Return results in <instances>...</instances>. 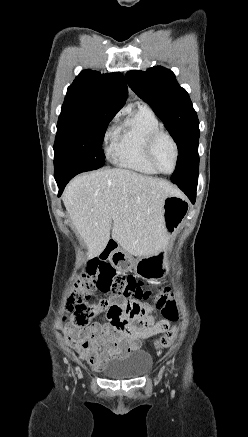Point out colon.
<instances>
[{"label": "colon", "mask_w": 248, "mask_h": 437, "mask_svg": "<svg viewBox=\"0 0 248 437\" xmlns=\"http://www.w3.org/2000/svg\"><path fill=\"white\" fill-rule=\"evenodd\" d=\"M94 288L113 294H128L129 297L133 296L137 299L152 297L159 305L163 306L165 318L162 321L165 334L155 342V347L157 349L164 348L175 339V331L169 329V323L178 318V312L169 289L158 288L155 293L145 289L142 281L133 275L116 272L115 267L105 259L88 261L81 279L75 283L70 291L67 309L74 325L86 326L95 314L106 309L109 305L105 300H100L97 303L90 302L91 291Z\"/></svg>", "instance_id": "colon-1"}]
</instances>
